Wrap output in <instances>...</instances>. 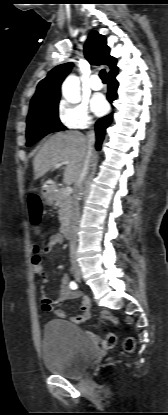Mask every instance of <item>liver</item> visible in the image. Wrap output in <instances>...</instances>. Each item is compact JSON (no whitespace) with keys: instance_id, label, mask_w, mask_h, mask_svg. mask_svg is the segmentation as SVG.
<instances>
[{"instance_id":"obj_1","label":"liver","mask_w":168,"mask_h":415,"mask_svg":"<svg viewBox=\"0 0 168 415\" xmlns=\"http://www.w3.org/2000/svg\"><path fill=\"white\" fill-rule=\"evenodd\" d=\"M87 155V138L82 133H56L44 143L34 158L35 178L44 176L55 163L68 161L69 164L64 170V183L76 185ZM94 158L95 153L90 157V161Z\"/></svg>"}]
</instances>
